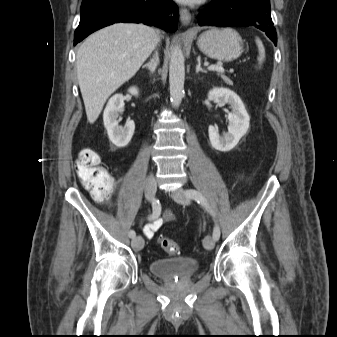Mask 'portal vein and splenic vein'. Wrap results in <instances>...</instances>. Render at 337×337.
Listing matches in <instances>:
<instances>
[{
  "label": "portal vein and splenic vein",
  "mask_w": 337,
  "mask_h": 337,
  "mask_svg": "<svg viewBox=\"0 0 337 337\" xmlns=\"http://www.w3.org/2000/svg\"><path fill=\"white\" fill-rule=\"evenodd\" d=\"M208 70L224 73V68L218 65H211L208 67Z\"/></svg>",
  "instance_id": "obj_1"
}]
</instances>
